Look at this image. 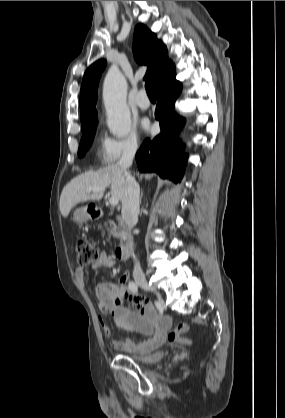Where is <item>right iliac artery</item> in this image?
<instances>
[{"label": "right iliac artery", "instance_id": "right-iliac-artery-1", "mask_svg": "<svg viewBox=\"0 0 285 418\" xmlns=\"http://www.w3.org/2000/svg\"><path fill=\"white\" fill-rule=\"evenodd\" d=\"M129 288L131 289L132 292L136 293L138 292V286L135 282L130 281L129 282Z\"/></svg>", "mask_w": 285, "mask_h": 418}]
</instances>
